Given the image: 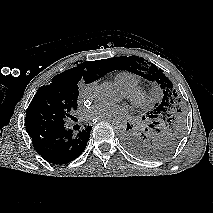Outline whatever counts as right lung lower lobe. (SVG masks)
<instances>
[{
	"label": "right lung lower lobe",
	"instance_id": "1",
	"mask_svg": "<svg viewBox=\"0 0 213 213\" xmlns=\"http://www.w3.org/2000/svg\"><path fill=\"white\" fill-rule=\"evenodd\" d=\"M88 126L78 134L64 125L54 126L32 136L36 152L47 162L56 165L69 163L82 154L86 148L90 131Z\"/></svg>",
	"mask_w": 213,
	"mask_h": 213
}]
</instances>
